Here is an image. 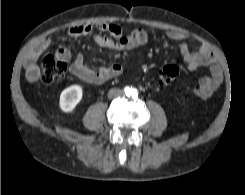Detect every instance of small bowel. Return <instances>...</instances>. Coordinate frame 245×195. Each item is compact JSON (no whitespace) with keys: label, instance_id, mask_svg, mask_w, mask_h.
I'll return each mask as SVG.
<instances>
[{"label":"small bowel","instance_id":"small-bowel-1","mask_svg":"<svg viewBox=\"0 0 245 195\" xmlns=\"http://www.w3.org/2000/svg\"><path fill=\"white\" fill-rule=\"evenodd\" d=\"M67 33L72 37L92 36L98 45L116 51L142 47L147 43V33L143 29H135L124 35L121 27L116 24L78 25L69 28ZM168 37L172 41H180L178 48L190 71H195L200 66L209 68V75L202 78L192 92L202 99L210 97L223 80L222 68L215 55L204 43H199L197 50L191 51L184 41L185 36L181 33L171 31L168 33ZM50 42L48 37L39 40L27 54L24 66L29 81L33 82L39 78L40 71L37 60L49 47ZM56 56L63 61L71 59V53L65 47L59 48ZM69 71L87 83L102 84L120 75L122 67L114 63L93 69L85 63L83 55L78 53L71 62Z\"/></svg>","mask_w":245,"mask_h":195}]
</instances>
